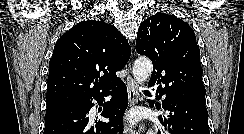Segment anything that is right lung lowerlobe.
<instances>
[{
    "label": "right lung lower lobe",
    "mask_w": 244,
    "mask_h": 134,
    "mask_svg": "<svg viewBox=\"0 0 244 134\" xmlns=\"http://www.w3.org/2000/svg\"><path fill=\"white\" fill-rule=\"evenodd\" d=\"M113 88V97L102 112L109 123L98 121L96 131L90 127L89 111L93 107L92 100L98 102L106 95L102 93L90 98H81L46 111L43 134H121L123 132V114L127 108L128 95L125 84L120 80Z\"/></svg>",
    "instance_id": "obj_1"
}]
</instances>
